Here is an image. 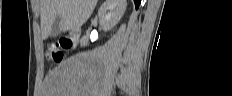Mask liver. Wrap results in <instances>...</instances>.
I'll use <instances>...</instances> for the list:
<instances>
[{"instance_id":"6515ba94","label":"liver","mask_w":232,"mask_h":96,"mask_svg":"<svg viewBox=\"0 0 232 96\" xmlns=\"http://www.w3.org/2000/svg\"><path fill=\"white\" fill-rule=\"evenodd\" d=\"M98 0H40L41 30L46 39L56 17H60V31L80 28L91 16Z\"/></svg>"}]
</instances>
